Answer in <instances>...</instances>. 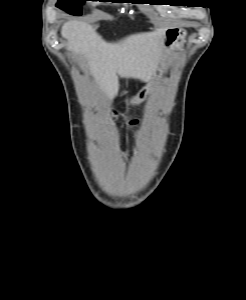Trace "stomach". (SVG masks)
Wrapping results in <instances>:
<instances>
[{
	"label": "stomach",
	"mask_w": 246,
	"mask_h": 300,
	"mask_svg": "<svg viewBox=\"0 0 246 300\" xmlns=\"http://www.w3.org/2000/svg\"><path fill=\"white\" fill-rule=\"evenodd\" d=\"M186 31L181 28H171L165 31L163 38L162 53L158 67L156 69L155 76L159 77L165 71V61L170 53L180 47L185 39ZM149 91L148 87L142 89L135 97L130 101L132 104H140L147 96Z\"/></svg>",
	"instance_id": "1"
}]
</instances>
